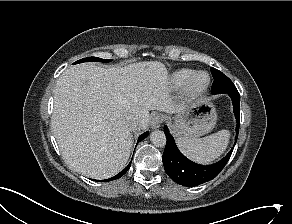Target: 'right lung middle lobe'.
Segmentation results:
<instances>
[{
    "label": "right lung middle lobe",
    "mask_w": 292,
    "mask_h": 224,
    "mask_svg": "<svg viewBox=\"0 0 292 224\" xmlns=\"http://www.w3.org/2000/svg\"><path fill=\"white\" fill-rule=\"evenodd\" d=\"M92 61L110 62L111 60H105V59H101V58H98V57H87V58H83V59L75 62L74 64L82 63V62H92Z\"/></svg>",
    "instance_id": "right-lung-middle-lobe-1"
}]
</instances>
